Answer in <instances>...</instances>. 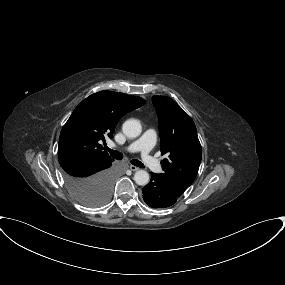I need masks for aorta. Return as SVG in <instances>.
Returning <instances> with one entry per match:
<instances>
[{
  "instance_id": "1",
  "label": "aorta",
  "mask_w": 285,
  "mask_h": 285,
  "mask_svg": "<svg viewBox=\"0 0 285 285\" xmlns=\"http://www.w3.org/2000/svg\"><path fill=\"white\" fill-rule=\"evenodd\" d=\"M123 133L130 138L138 137L142 132V126L137 119H128L123 123ZM149 174L145 170H138L134 175V180L138 185L145 186L149 182Z\"/></svg>"
}]
</instances>
